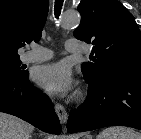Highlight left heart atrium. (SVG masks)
<instances>
[{"label":"left heart atrium","instance_id":"obj_1","mask_svg":"<svg viewBox=\"0 0 141 139\" xmlns=\"http://www.w3.org/2000/svg\"><path fill=\"white\" fill-rule=\"evenodd\" d=\"M32 77L40 88L52 95L66 94L72 87V75L64 63L38 67Z\"/></svg>","mask_w":141,"mask_h":139}]
</instances>
